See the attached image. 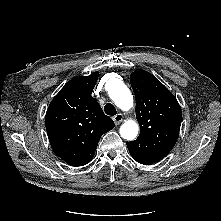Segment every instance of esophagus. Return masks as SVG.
Here are the masks:
<instances>
[{
    "label": "esophagus",
    "mask_w": 221,
    "mask_h": 221,
    "mask_svg": "<svg viewBox=\"0 0 221 221\" xmlns=\"http://www.w3.org/2000/svg\"><path fill=\"white\" fill-rule=\"evenodd\" d=\"M123 118H124L123 115L121 113H118L113 117V120L115 124L118 125L122 122Z\"/></svg>",
    "instance_id": "obj_1"
}]
</instances>
